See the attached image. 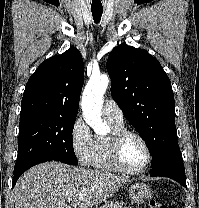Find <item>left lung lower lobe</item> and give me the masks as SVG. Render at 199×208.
<instances>
[{
    "mask_svg": "<svg viewBox=\"0 0 199 208\" xmlns=\"http://www.w3.org/2000/svg\"><path fill=\"white\" fill-rule=\"evenodd\" d=\"M150 176L169 177L186 187V176L179 146L170 150L157 164L151 166Z\"/></svg>",
    "mask_w": 199,
    "mask_h": 208,
    "instance_id": "1",
    "label": "left lung lower lobe"
}]
</instances>
